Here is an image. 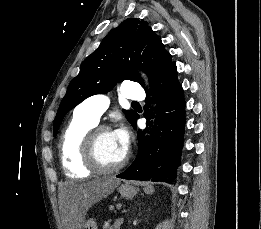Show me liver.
<instances>
[{
	"label": "liver",
	"instance_id": "liver-1",
	"mask_svg": "<svg viewBox=\"0 0 261 229\" xmlns=\"http://www.w3.org/2000/svg\"><path fill=\"white\" fill-rule=\"evenodd\" d=\"M120 183V179L102 177V179H94L88 183H73L69 189H66L65 201H67V205L64 223L68 229H81L88 209L94 203H99L111 195Z\"/></svg>",
	"mask_w": 261,
	"mask_h": 229
}]
</instances>
